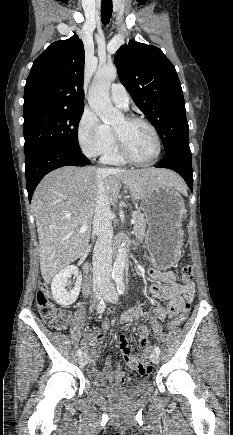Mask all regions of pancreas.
<instances>
[{
  "label": "pancreas",
  "mask_w": 233,
  "mask_h": 435,
  "mask_svg": "<svg viewBox=\"0 0 233 435\" xmlns=\"http://www.w3.org/2000/svg\"><path fill=\"white\" fill-rule=\"evenodd\" d=\"M132 218L136 220V223L133 227V232L137 239L142 240L145 235V229H146V221L144 214H142L140 211H137L132 214Z\"/></svg>",
  "instance_id": "obj_1"
}]
</instances>
